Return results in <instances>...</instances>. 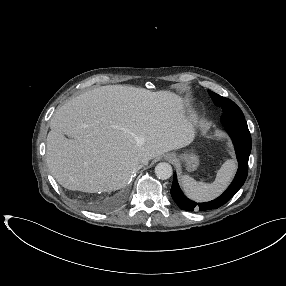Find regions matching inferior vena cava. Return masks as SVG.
I'll list each match as a JSON object with an SVG mask.
<instances>
[{"mask_svg":"<svg viewBox=\"0 0 286 286\" xmlns=\"http://www.w3.org/2000/svg\"><path fill=\"white\" fill-rule=\"evenodd\" d=\"M140 167H141V165H137V166H136V169H139Z\"/></svg>","mask_w":286,"mask_h":286,"instance_id":"inferior-vena-cava-1","label":"inferior vena cava"}]
</instances>
